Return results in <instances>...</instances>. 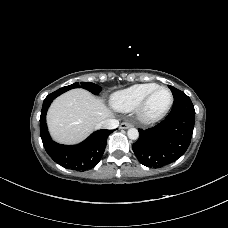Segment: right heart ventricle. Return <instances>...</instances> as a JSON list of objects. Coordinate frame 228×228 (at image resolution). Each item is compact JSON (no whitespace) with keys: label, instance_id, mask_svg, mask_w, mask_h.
Returning <instances> with one entry per match:
<instances>
[{"label":"right heart ventricle","instance_id":"obj_1","mask_svg":"<svg viewBox=\"0 0 228 228\" xmlns=\"http://www.w3.org/2000/svg\"><path fill=\"white\" fill-rule=\"evenodd\" d=\"M159 86L157 83L136 84L115 93L111 97L113 107L122 112H131L141 103L143 98L154 88Z\"/></svg>","mask_w":228,"mask_h":228}]
</instances>
